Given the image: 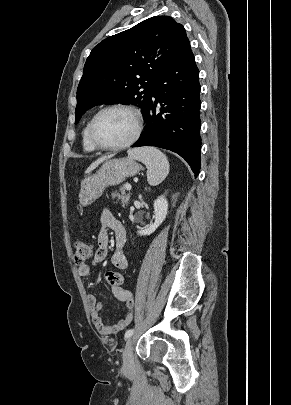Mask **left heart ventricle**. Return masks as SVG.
Returning <instances> with one entry per match:
<instances>
[{
  "instance_id": "1",
  "label": "left heart ventricle",
  "mask_w": 291,
  "mask_h": 405,
  "mask_svg": "<svg viewBox=\"0 0 291 405\" xmlns=\"http://www.w3.org/2000/svg\"><path fill=\"white\" fill-rule=\"evenodd\" d=\"M135 131L133 116L123 110H111L103 113L96 121L94 133L96 139L104 145H118L127 141Z\"/></svg>"
}]
</instances>
